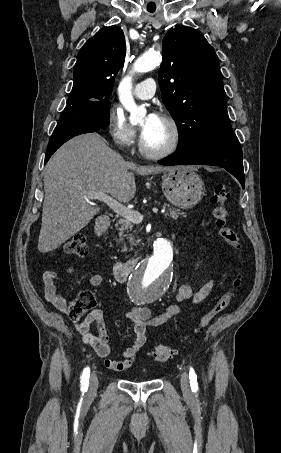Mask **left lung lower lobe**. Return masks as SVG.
I'll return each mask as SVG.
<instances>
[{"instance_id": "1", "label": "left lung lower lobe", "mask_w": 281, "mask_h": 453, "mask_svg": "<svg viewBox=\"0 0 281 453\" xmlns=\"http://www.w3.org/2000/svg\"><path fill=\"white\" fill-rule=\"evenodd\" d=\"M158 163L167 166L190 164L220 166L234 175L243 188L245 185L242 149L234 133L178 149Z\"/></svg>"}]
</instances>
